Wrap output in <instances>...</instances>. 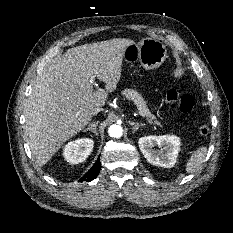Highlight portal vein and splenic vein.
Listing matches in <instances>:
<instances>
[{"label": "portal vein and splenic vein", "mask_w": 233, "mask_h": 233, "mask_svg": "<svg viewBox=\"0 0 233 233\" xmlns=\"http://www.w3.org/2000/svg\"><path fill=\"white\" fill-rule=\"evenodd\" d=\"M151 121H152V119H151ZM154 123L157 125H160V123L158 121H154Z\"/></svg>", "instance_id": "1"}]
</instances>
